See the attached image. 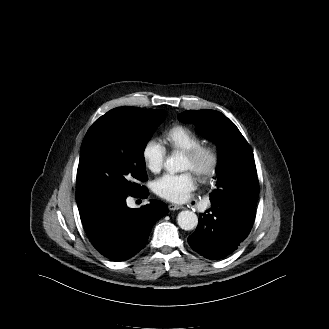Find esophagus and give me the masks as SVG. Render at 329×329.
<instances>
[{"label": "esophagus", "mask_w": 329, "mask_h": 329, "mask_svg": "<svg viewBox=\"0 0 329 329\" xmlns=\"http://www.w3.org/2000/svg\"><path fill=\"white\" fill-rule=\"evenodd\" d=\"M181 208H183V206L176 205V204H169V205H168V209H169L170 211L178 210V209H181Z\"/></svg>", "instance_id": "esophagus-1"}]
</instances>
